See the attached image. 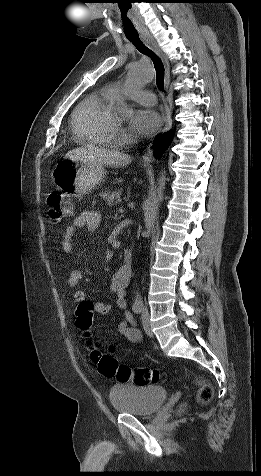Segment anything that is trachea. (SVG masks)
Listing matches in <instances>:
<instances>
[{"mask_svg":"<svg viewBox=\"0 0 261 476\" xmlns=\"http://www.w3.org/2000/svg\"><path fill=\"white\" fill-rule=\"evenodd\" d=\"M127 39L135 45L139 52L147 55L153 61L156 70V84L159 90H164V66L159 56L148 48L139 38L136 36H127Z\"/></svg>","mask_w":261,"mask_h":476,"instance_id":"1","label":"trachea"}]
</instances>
